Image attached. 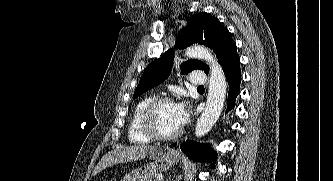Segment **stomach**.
Listing matches in <instances>:
<instances>
[{"label":"stomach","instance_id":"0dacf381","mask_svg":"<svg viewBox=\"0 0 333 181\" xmlns=\"http://www.w3.org/2000/svg\"><path fill=\"white\" fill-rule=\"evenodd\" d=\"M151 161L125 174L120 181H153L160 173L177 164L178 157L172 152L156 150L150 157Z\"/></svg>","mask_w":333,"mask_h":181}]
</instances>
